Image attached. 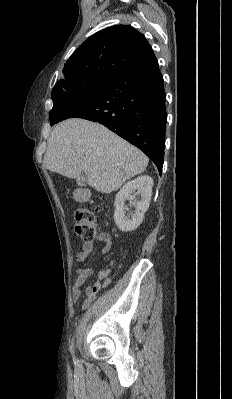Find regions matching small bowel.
<instances>
[{
  "label": "small bowel",
  "instance_id": "1",
  "mask_svg": "<svg viewBox=\"0 0 232 399\" xmlns=\"http://www.w3.org/2000/svg\"><path fill=\"white\" fill-rule=\"evenodd\" d=\"M112 243L111 242H106L102 248L100 249L101 254H106L109 249L111 248ZM93 249V243L92 242H84L83 244V249L78 253V262L80 264L86 263L91 251ZM89 275L88 270L86 269H79L77 271L76 277L73 280V292L71 294V303L75 304L80 296H81V286L85 283ZM86 292V298L83 301L81 309L84 310L86 309L92 302L93 299V287L91 285H88L85 289Z\"/></svg>",
  "mask_w": 232,
  "mask_h": 399
}]
</instances>
